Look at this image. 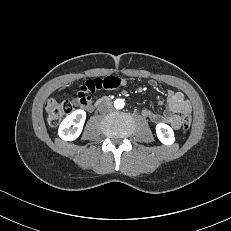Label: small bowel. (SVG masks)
Listing matches in <instances>:
<instances>
[{
    "label": "small bowel",
    "instance_id": "c3829d8e",
    "mask_svg": "<svg viewBox=\"0 0 231 231\" xmlns=\"http://www.w3.org/2000/svg\"><path fill=\"white\" fill-rule=\"evenodd\" d=\"M127 81L118 76H108L106 78L90 79L85 82V85L80 87V90L74 100L75 104L85 110H91L92 100L89 93H94L101 89H116L126 85ZM151 86H155L154 80L150 81ZM160 106H166L163 114H155L151 109L146 108L142 114L149 118L154 123L165 122L173 128L179 129L181 126V116L191 113V104L180 91L170 90L166 94V101H161Z\"/></svg>",
    "mask_w": 231,
    "mask_h": 231
}]
</instances>
